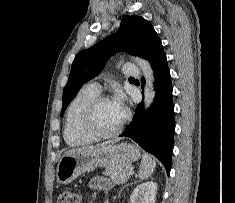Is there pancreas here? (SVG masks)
I'll list each match as a JSON object with an SVG mask.
<instances>
[{
  "label": "pancreas",
  "mask_w": 235,
  "mask_h": 203,
  "mask_svg": "<svg viewBox=\"0 0 235 203\" xmlns=\"http://www.w3.org/2000/svg\"><path fill=\"white\" fill-rule=\"evenodd\" d=\"M131 169V164L112 166L107 167L103 174L108 176L114 184H122L129 179L130 175H128V172Z\"/></svg>",
  "instance_id": "cf45deb5"
}]
</instances>
